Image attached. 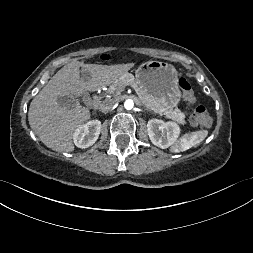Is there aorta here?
<instances>
[{
    "label": "aorta",
    "instance_id": "obj_1",
    "mask_svg": "<svg viewBox=\"0 0 253 253\" xmlns=\"http://www.w3.org/2000/svg\"><path fill=\"white\" fill-rule=\"evenodd\" d=\"M133 106H134V102H133V100H131V99L126 100L125 103H124V107H125L127 110L132 109Z\"/></svg>",
    "mask_w": 253,
    "mask_h": 253
}]
</instances>
